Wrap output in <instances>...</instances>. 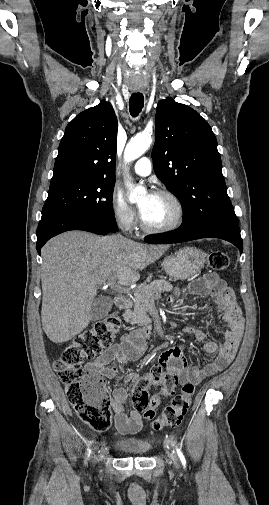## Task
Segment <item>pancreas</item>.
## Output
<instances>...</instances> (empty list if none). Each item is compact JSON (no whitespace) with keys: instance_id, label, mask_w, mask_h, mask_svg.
Returning <instances> with one entry per match:
<instances>
[{"instance_id":"cf45deb5","label":"pancreas","mask_w":269,"mask_h":505,"mask_svg":"<svg viewBox=\"0 0 269 505\" xmlns=\"http://www.w3.org/2000/svg\"><path fill=\"white\" fill-rule=\"evenodd\" d=\"M173 286L164 279L156 280L150 285L134 290V309L127 308L123 313L125 322L144 325L147 322L146 313L154 303L155 296L171 291Z\"/></svg>"}]
</instances>
